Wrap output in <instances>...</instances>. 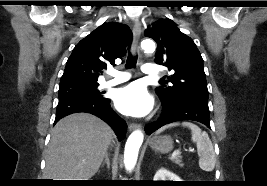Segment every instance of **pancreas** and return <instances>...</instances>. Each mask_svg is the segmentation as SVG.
Segmentation results:
<instances>
[{"mask_svg":"<svg viewBox=\"0 0 267 186\" xmlns=\"http://www.w3.org/2000/svg\"><path fill=\"white\" fill-rule=\"evenodd\" d=\"M173 161L176 163V164H178L179 166H183V163H182V160H181V157L180 156H176V157H174L173 158Z\"/></svg>","mask_w":267,"mask_h":186,"instance_id":"pancreas-1","label":"pancreas"}]
</instances>
